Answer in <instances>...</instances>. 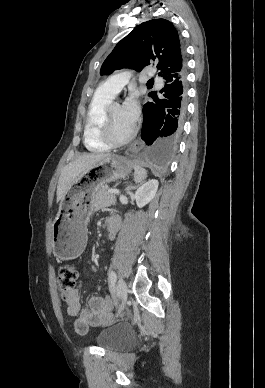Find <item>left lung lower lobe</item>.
I'll return each instance as SVG.
<instances>
[{
	"label": "left lung lower lobe",
	"mask_w": 265,
	"mask_h": 388,
	"mask_svg": "<svg viewBox=\"0 0 265 388\" xmlns=\"http://www.w3.org/2000/svg\"><path fill=\"white\" fill-rule=\"evenodd\" d=\"M159 94H149L154 102L143 106L141 138L143 158L158 169H166L182 132L186 111V68L164 78Z\"/></svg>",
	"instance_id": "0a47b994"
}]
</instances>
